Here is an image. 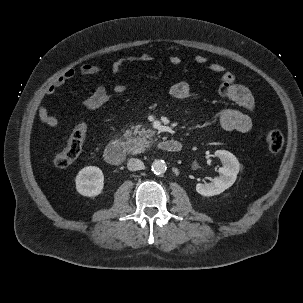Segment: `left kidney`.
Listing matches in <instances>:
<instances>
[{
    "label": "left kidney",
    "mask_w": 303,
    "mask_h": 303,
    "mask_svg": "<svg viewBox=\"0 0 303 303\" xmlns=\"http://www.w3.org/2000/svg\"><path fill=\"white\" fill-rule=\"evenodd\" d=\"M214 154L221 160L223 167L219 168L220 175L215 177L212 182L196 185V191L202 196H214L224 192L234 184L240 170V163L232 153L217 150Z\"/></svg>",
    "instance_id": "1"
}]
</instances>
